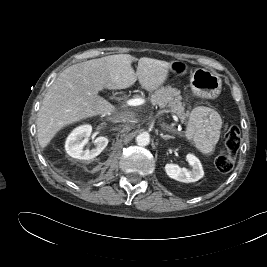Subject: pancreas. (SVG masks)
Listing matches in <instances>:
<instances>
[{"instance_id":"obj_1","label":"pancreas","mask_w":267,"mask_h":267,"mask_svg":"<svg viewBox=\"0 0 267 267\" xmlns=\"http://www.w3.org/2000/svg\"><path fill=\"white\" fill-rule=\"evenodd\" d=\"M179 91L171 87H161L151 95L153 104L159 105L161 108H168L175 113L182 122H187L189 112H185V105L180 101Z\"/></svg>"}]
</instances>
